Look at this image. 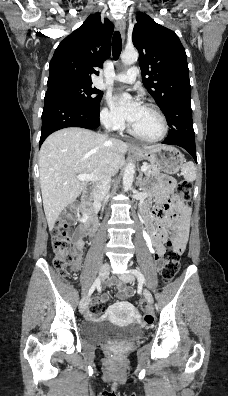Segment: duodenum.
Returning <instances> with one entry per match:
<instances>
[{"instance_id":"1","label":"duodenum","mask_w":228,"mask_h":396,"mask_svg":"<svg viewBox=\"0 0 228 396\" xmlns=\"http://www.w3.org/2000/svg\"><path fill=\"white\" fill-rule=\"evenodd\" d=\"M80 211L84 227L90 232L97 231L99 222L93 208L92 195L89 190H86L83 194V199L80 204ZM157 222L158 220L153 217L151 222L146 221L145 225L150 230V234L156 230Z\"/></svg>"}]
</instances>
